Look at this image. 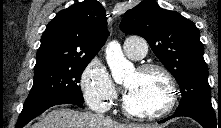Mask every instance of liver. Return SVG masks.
<instances>
[{
    "label": "liver",
    "instance_id": "obj_1",
    "mask_svg": "<svg viewBox=\"0 0 221 128\" xmlns=\"http://www.w3.org/2000/svg\"><path fill=\"white\" fill-rule=\"evenodd\" d=\"M31 128H163V126L121 124L109 118L98 117L91 112L61 108L50 111Z\"/></svg>",
    "mask_w": 221,
    "mask_h": 128
}]
</instances>
